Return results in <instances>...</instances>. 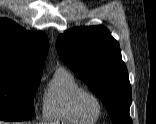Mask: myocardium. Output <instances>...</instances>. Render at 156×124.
Returning <instances> with one entry per match:
<instances>
[{"instance_id": "f54148a6", "label": "myocardium", "mask_w": 156, "mask_h": 124, "mask_svg": "<svg viewBox=\"0 0 156 124\" xmlns=\"http://www.w3.org/2000/svg\"><path fill=\"white\" fill-rule=\"evenodd\" d=\"M87 97L92 98L98 104V107H99L98 114L97 116L92 117V118H99L103 112L104 104H103L102 99L97 94H95L94 92L90 90L82 89L76 94L75 99H74V104H75V108L77 112L84 118H90L83 107V101Z\"/></svg>"}]
</instances>
